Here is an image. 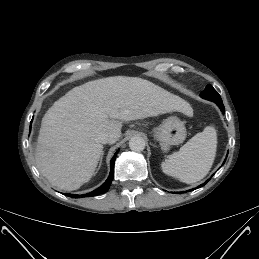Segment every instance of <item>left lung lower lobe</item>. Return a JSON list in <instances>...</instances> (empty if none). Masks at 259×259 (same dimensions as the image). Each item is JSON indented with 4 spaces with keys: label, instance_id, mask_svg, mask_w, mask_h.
I'll return each mask as SVG.
<instances>
[{
    "label": "left lung lower lobe",
    "instance_id": "left-lung-lower-lobe-1",
    "mask_svg": "<svg viewBox=\"0 0 259 259\" xmlns=\"http://www.w3.org/2000/svg\"><path fill=\"white\" fill-rule=\"evenodd\" d=\"M215 103L219 106V108L221 109L222 113H224V105L221 101H215ZM210 179H208L204 184H202L201 186H204Z\"/></svg>",
    "mask_w": 259,
    "mask_h": 259
}]
</instances>
